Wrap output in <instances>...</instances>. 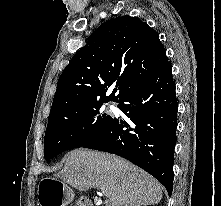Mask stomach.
<instances>
[{"label": "stomach", "instance_id": "0dacf381", "mask_svg": "<svg viewBox=\"0 0 221 206\" xmlns=\"http://www.w3.org/2000/svg\"><path fill=\"white\" fill-rule=\"evenodd\" d=\"M42 184L50 187L48 194H43L40 188L38 192L39 206H67L73 200L72 189L57 179L47 178Z\"/></svg>", "mask_w": 221, "mask_h": 206}]
</instances>
